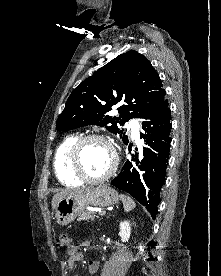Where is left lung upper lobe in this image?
<instances>
[{
    "label": "left lung upper lobe",
    "instance_id": "5c2ea615",
    "mask_svg": "<svg viewBox=\"0 0 221 276\" xmlns=\"http://www.w3.org/2000/svg\"><path fill=\"white\" fill-rule=\"evenodd\" d=\"M164 96L165 90L150 61L131 50L111 60L73 90L57 119L56 129L105 126L128 144V136L118 124L133 117L144 119L165 100ZM116 104L121 105L119 117L109 115Z\"/></svg>",
    "mask_w": 221,
    "mask_h": 276
}]
</instances>
